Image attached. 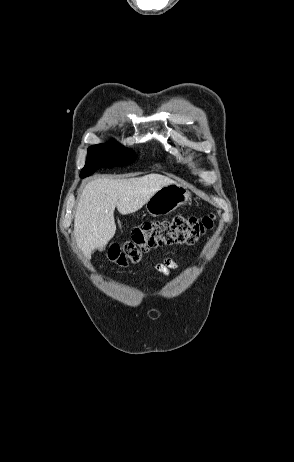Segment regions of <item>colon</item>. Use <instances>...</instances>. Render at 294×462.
<instances>
[{
  "label": "colon",
  "instance_id": "colon-1",
  "mask_svg": "<svg viewBox=\"0 0 294 462\" xmlns=\"http://www.w3.org/2000/svg\"><path fill=\"white\" fill-rule=\"evenodd\" d=\"M212 215L185 217L176 215L169 219L143 223L132 230L131 237L123 245H112L108 259L120 266L137 263L143 253L167 245H193L213 228Z\"/></svg>",
  "mask_w": 294,
  "mask_h": 462
}]
</instances>
